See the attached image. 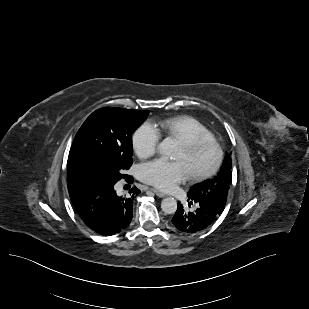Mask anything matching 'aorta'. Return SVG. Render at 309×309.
I'll list each match as a JSON object with an SVG mask.
<instances>
[{
  "label": "aorta",
  "mask_w": 309,
  "mask_h": 309,
  "mask_svg": "<svg viewBox=\"0 0 309 309\" xmlns=\"http://www.w3.org/2000/svg\"><path fill=\"white\" fill-rule=\"evenodd\" d=\"M159 150L169 157H173L177 151V145L171 138H165L158 146ZM161 209L165 214H174L177 210V201L167 197L161 202Z\"/></svg>",
  "instance_id": "1"
}]
</instances>
